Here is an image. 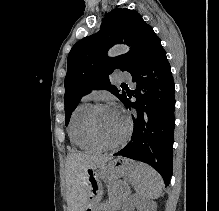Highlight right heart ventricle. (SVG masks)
<instances>
[{"label":"right heart ventricle","instance_id":"obj_1","mask_svg":"<svg viewBox=\"0 0 219 211\" xmlns=\"http://www.w3.org/2000/svg\"><path fill=\"white\" fill-rule=\"evenodd\" d=\"M92 104L87 100L80 102L72 111L68 133L73 144L87 152H97L102 150V147L96 144L87 131L86 119Z\"/></svg>","mask_w":219,"mask_h":211}]
</instances>
